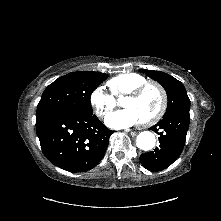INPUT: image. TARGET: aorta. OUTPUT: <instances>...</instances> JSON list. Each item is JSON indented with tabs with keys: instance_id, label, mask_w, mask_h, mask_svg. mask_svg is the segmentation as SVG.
<instances>
[{
	"instance_id": "aorta-1",
	"label": "aorta",
	"mask_w": 221,
	"mask_h": 221,
	"mask_svg": "<svg viewBox=\"0 0 221 221\" xmlns=\"http://www.w3.org/2000/svg\"><path fill=\"white\" fill-rule=\"evenodd\" d=\"M156 143L155 135L152 132H141L136 139V145L139 149L148 151L151 150Z\"/></svg>"
}]
</instances>
